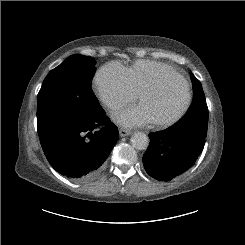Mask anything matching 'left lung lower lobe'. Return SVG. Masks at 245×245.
<instances>
[{
	"label": "left lung lower lobe",
	"mask_w": 245,
	"mask_h": 245,
	"mask_svg": "<svg viewBox=\"0 0 245 245\" xmlns=\"http://www.w3.org/2000/svg\"><path fill=\"white\" fill-rule=\"evenodd\" d=\"M143 165L152 177L170 181L189 170L202 153L206 136L192 130L168 128L150 133Z\"/></svg>",
	"instance_id": "1"
}]
</instances>
